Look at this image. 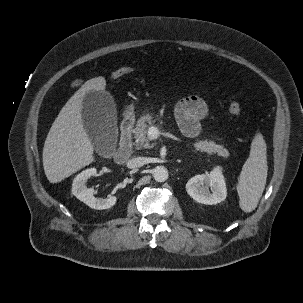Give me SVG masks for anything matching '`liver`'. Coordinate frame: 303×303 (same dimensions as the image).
Returning a JSON list of instances; mask_svg holds the SVG:
<instances>
[{"mask_svg":"<svg viewBox=\"0 0 303 303\" xmlns=\"http://www.w3.org/2000/svg\"><path fill=\"white\" fill-rule=\"evenodd\" d=\"M106 80L86 81L61 109L45 140L44 172L51 183H58L94 161V148L84 129L82 102L86 93L104 91Z\"/></svg>","mask_w":303,"mask_h":303,"instance_id":"6515ba94","label":"liver"}]
</instances>
